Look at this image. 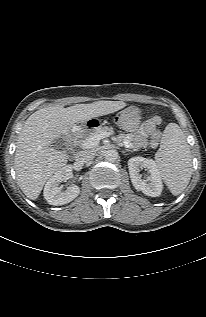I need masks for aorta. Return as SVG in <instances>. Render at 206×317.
I'll list each match as a JSON object with an SVG mask.
<instances>
[{
	"label": "aorta",
	"mask_w": 206,
	"mask_h": 317,
	"mask_svg": "<svg viewBox=\"0 0 206 317\" xmlns=\"http://www.w3.org/2000/svg\"><path fill=\"white\" fill-rule=\"evenodd\" d=\"M104 157L109 162H115L118 159L119 154L116 149H109L105 152Z\"/></svg>",
	"instance_id": "762f6f07"
}]
</instances>
